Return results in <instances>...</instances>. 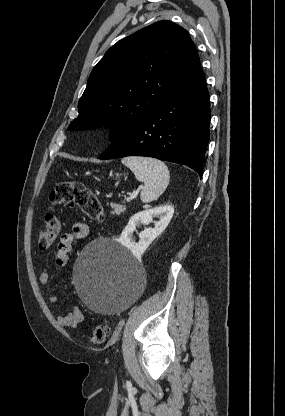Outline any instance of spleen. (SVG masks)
I'll list each match as a JSON object with an SVG mask.
<instances>
[{"label": "spleen", "instance_id": "spleen-1", "mask_svg": "<svg viewBox=\"0 0 285 416\" xmlns=\"http://www.w3.org/2000/svg\"><path fill=\"white\" fill-rule=\"evenodd\" d=\"M124 166L130 168L138 182H144L141 192L143 204H149L153 200H158L159 196L165 192L170 174L167 166L155 158H140V156H129L122 158Z\"/></svg>", "mask_w": 285, "mask_h": 416}]
</instances>
